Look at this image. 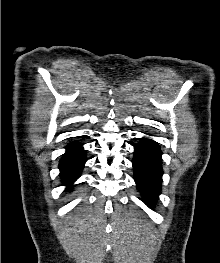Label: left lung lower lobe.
Wrapping results in <instances>:
<instances>
[{
    "label": "left lung lower lobe",
    "instance_id": "left-lung-lower-lobe-1",
    "mask_svg": "<svg viewBox=\"0 0 220 263\" xmlns=\"http://www.w3.org/2000/svg\"><path fill=\"white\" fill-rule=\"evenodd\" d=\"M162 152L158 144L147 138L134 147L133 170L137 188L144 202L152 207L161 192L162 182Z\"/></svg>",
    "mask_w": 220,
    "mask_h": 263
}]
</instances>
